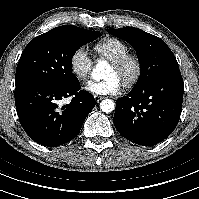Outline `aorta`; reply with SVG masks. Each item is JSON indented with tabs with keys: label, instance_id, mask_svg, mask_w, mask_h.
<instances>
[{
	"label": "aorta",
	"instance_id": "1",
	"mask_svg": "<svg viewBox=\"0 0 199 199\" xmlns=\"http://www.w3.org/2000/svg\"><path fill=\"white\" fill-rule=\"evenodd\" d=\"M107 66L106 62L103 60L98 61L97 65L93 69V76L96 79L102 78L103 71ZM114 102L110 99H105L100 103V109L105 113H110L114 110Z\"/></svg>",
	"mask_w": 199,
	"mask_h": 199
}]
</instances>
